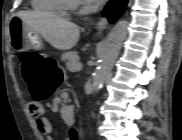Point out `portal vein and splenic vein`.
<instances>
[{"label": "portal vein and splenic vein", "instance_id": "portal-vein-and-splenic-vein-1", "mask_svg": "<svg viewBox=\"0 0 182 140\" xmlns=\"http://www.w3.org/2000/svg\"><path fill=\"white\" fill-rule=\"evenodd\" d=\"M82 68V63L77 64V71H79Z\"/></svg>", "mask_w": 182, "mask_h": 140}]
</instances>
